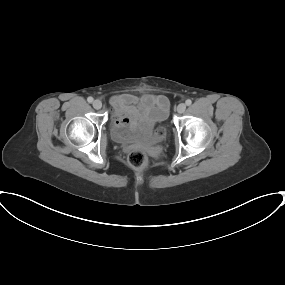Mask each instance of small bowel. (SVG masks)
<instances>
[{
    "label": "small bowel",
    "instance_id": "obj_1",
    "mask_svg": "<svg viewBox=\"0 0 285 285\" xmlns=\"http://www.w3.org/2000/svg\"><path fill=\"white\" fill-rule=\"evenodd\" d=\"M113 106L118 110L117 123L125 125L153 124L160 113H168L169 102L163 95L145 94L140 97L124 94L114 98Z\"/></svg>",
    "mask_w": 285,
    "mask_h": 285
}]
</instances>
